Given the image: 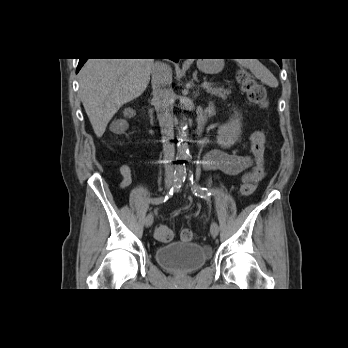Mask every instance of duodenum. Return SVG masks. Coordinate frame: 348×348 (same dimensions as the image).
Returning a JSON list of instances; mask_svg holds the SVG:
<instances>
[{"instance_id":"1","label":"duodenum","mask_w":348,"mask_h":348,"mask_svg":"<svg viewBox=\"0 0 348 348\" xmlns=\"http://www.w3.org/2000/svg\"><path fill=\"white\" fill-rule=\"evenodd\" d=\"M211 110H212V106L209 105V106L207 107L205 113H204L203 115L200 116V118H199V126H200V127L204 124V122H205L206 119L208 118V116H209ZM152 115H153V114H152V112H151V116H152ZM197 131H198V130H197Z\"/></svg>"}]
</instances>
